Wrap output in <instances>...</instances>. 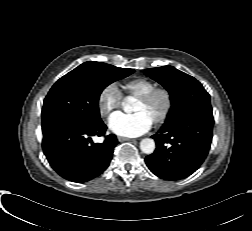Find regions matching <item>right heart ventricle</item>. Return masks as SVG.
Returning <instances> with one entry per match:
<instances>
[{
    "mask_svg": "<svg viewBox=\"0 0 252 231\" xmlns=\"http://www.w3.org/2000/svg\"><path fill=\"white\" fill-rule=\"evenodd\" d=\"M156 87L155 82L146 77H135L123 84V89L128 95L139 97Z\"/></svg>",
    "mask_w": 252,
    "mask_h": 231,
    "instance_id": "e07e8e85",
    "label": "right heart ventricle"
}]
</instances>
